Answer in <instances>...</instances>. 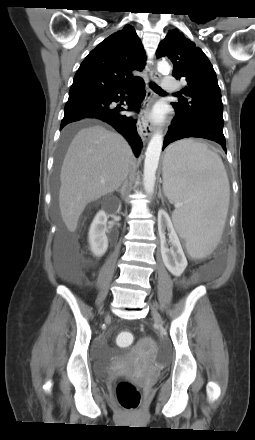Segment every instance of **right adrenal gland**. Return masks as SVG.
<instances>
[{
    "mask_svg": "<svg viewBox=\"0 0 255 440\" xmlns=\"http://www.w3.org/2000/svg\"><path fill=\"white\" fill-rule=\"evenodd\" d=\"M116 192H119L121 194V198L124 199L125 192H126V185H123L121 189H117Z\"/></svg>",
    "mask_w": 255,
    "mask_h": 440,
    "instance_id": "1",
    "label": "right adrenal gland"
}]
</instances>
